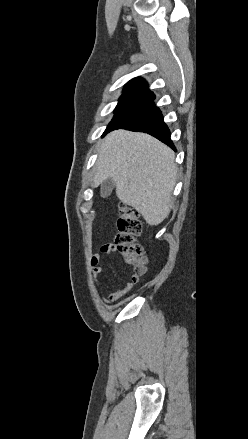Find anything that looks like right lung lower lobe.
<instances>
[{"mask_svg": "<svg viewBox=\"0 0 248 439\" xmlns=\"http://www.w3.org/2000/svg\"><path fill=\"white\" fill-rule=\"evenodd\" d=\"M118 128L148 133L176 150L170 139V131L163 121L162 113L154 105L153 100L119 123L106 129L104 135Z\"/></svg>", "mask_w": 248, "mask_h": 439, "instance_id": "98d812e1", "label": "right lung lower lobe"}]
</instances>
